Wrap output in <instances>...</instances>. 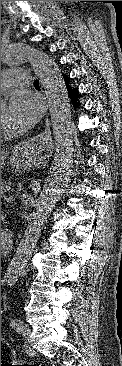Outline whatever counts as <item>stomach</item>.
Segmentation results:
<instances>
[{"label":"stomach","mask_w":122,"mask_h":366,"mask_svg":"<svg viewBox=\"0 0 122 366\" xmlns=\"http://www.w3.org/2000/svg\"><path fill=\"white\" fill-rule=\"evenodd\" d=\"M24 155H25L24 152H20L19 154L15 155V157H13L12 161L14 162L19 161L21 157H23Z\"/></svg>","instance_id":"1"}]
</instances>
